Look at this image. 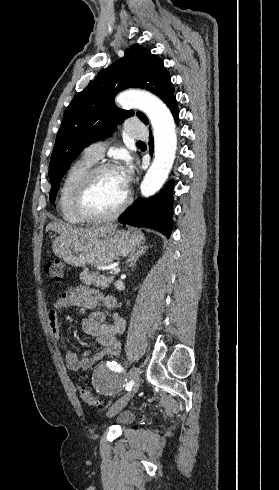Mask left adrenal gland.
Here are the masks:
<instances>
[{
  "label": "left adrenal gland",
  "instance_id": "obj_1",
  "mask_svg": "<svg viewBox=\"0 0 279 490\" xmlns=\"http://www.w3.org/2000/svg\"><path fill=\"white\" fill-rule=\"evenodd\" d=\"M146 250H148V246H140V248L136 250L135 254H132V256H128V260H127V262H129L128 266H135L138 258H140V256H143Z\"/></svg>",
  "mask_w": 279,
  "mask_h": 490
}]
</instances>
